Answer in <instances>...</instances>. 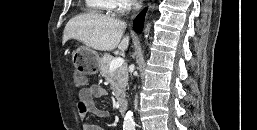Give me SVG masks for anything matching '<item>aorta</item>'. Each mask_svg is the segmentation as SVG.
Returning <instances> with one entry per match:
<instances>
[{
  "instance_id": "aorta-1",
  "label": "aorta",
  "mask_w": 257,
  "mask_h": 130,
  "mask_svg": "<svg viewBox=\"0 0 257 130\" xmlns=\"http://www.w3.org/2000/svg\"><path fill=\"white\" fill-rule=\"evenodd\" d=\"M148 31H149V25H147V28H145V32H148ZM146 37H147V35H146ZM123 128H124V130H134V128H135L133 113L131 111H128L125 116Z\"/></svg>"
}]
</instances>
